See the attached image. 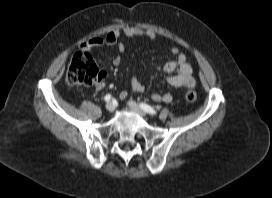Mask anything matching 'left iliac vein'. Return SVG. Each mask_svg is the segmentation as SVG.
<instances>
[{
	"instance_id": "4c4485c4",
	"label": "left iliac vein",
	"mask_w": 272,
	"mask_h": 198,
	"mask_svg": "<svg viewBox=\"0 0 272 198\" xmlns=\"http://www.w3.org/2000/svg\"><path fill=\"white\" fill-rule=\"evenodd\" d=\"M128 106L129 108L134 111L135 113H137L138 115L142 116V117H145L146 116V112L140 108V106L134 102V101H129L128 102Z\"/></svg>"
}]
</instances>
